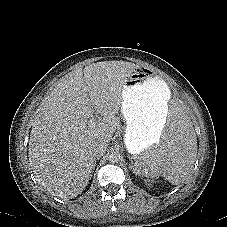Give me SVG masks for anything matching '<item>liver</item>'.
I'll use <instances>...</instances> for the list:
<instances>
[{"label":"liver","instance_id":"liver-1","mask_svg":"<svg viewBox=\"0 0 227 227\" xmlns=\"http://www.w3.org/2000/svg\"><path fill=\"white\" fill-rule=\"evenodd\" d=\"M135 64L103 61L61 78L44 98L29 140V162L40 185L52 195L71 199L89 183L96 143L112 139L129 71ZM103 116L90 127L94 114Z\"/></svg>","mask_w":227,"mask_h":227}]
</instances>
